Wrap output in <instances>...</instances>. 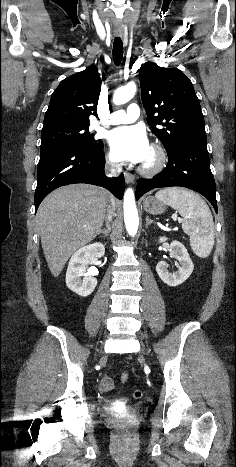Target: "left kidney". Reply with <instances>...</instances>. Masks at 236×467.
Here are the masks:
<instances>
[{
	"label": "left kidney",
	"mask_w": 236,
	"mask_h": 467,
	"mask_svg": "<svg viewBox=\"0 0 236 467\" xmlns=\"http://www.w3.org/2000/svg\"><path fill=\"white\" fill-rule=\"evenodd\" d=\"M167 241L166 237L159 238V243ZM170 253L176 258L180 266L176 272L170 273L167 264L160 261L156 266V271L160 279L168 286L175 287L186 281L194 269V264L185 246L179 241H172Z\"/></svg>",
	"instance_id": "left-kidney-1"
}]
</instances>
